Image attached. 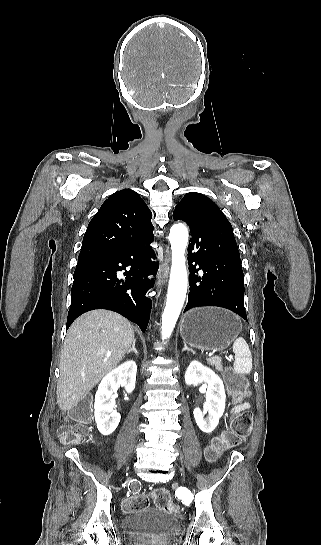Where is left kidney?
Returning a JSON list of instances; mask_svg holds the SVG:
<instances>
[{
	"mask_svg": "<svg viewBox=\"0 0 321 545\" xmlns=\"http://www.w3.org/2000/svg\"><path fill=\"white\" fill-rule=\"evenodd\" d=\"M186 385H198V383H207L206 403H204V411L194 409V419L203 433H212L216 429L220 417L225 411V389L223 381L220 377L204 367L199 361H191L185 373ZM208 417L205 419V415Z\"/></svg>",
	"mask_w": 321,
	"mask_h": 545,
	"instance_id": "1",
	"label": "left kidney"
}]
</instances>
